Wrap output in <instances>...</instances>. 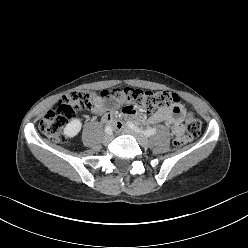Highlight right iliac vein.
Instances as JSON below:
<instances>
[{"instance_id": "63e3f726", "label": "right iliac vein", "mask_w": 248, "mask_h": 248, "mask_svg": "<svg viewBox=\"0 0 248 248\" xmlns=\"http://www.w3.org/2000/svg\"><path fill=\"white\" fill-rule=\"evenodd\" d=\"M113 139V135L111 134H108V135H105V137L103 138V143L104 144H109Z\"/></svg>"}]
</instances>
